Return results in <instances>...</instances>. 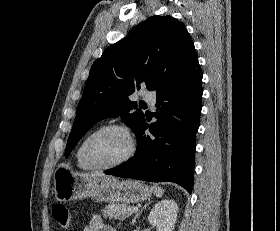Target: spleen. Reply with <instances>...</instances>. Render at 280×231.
Instances as JSON below:
<instances>
[{"label": "spleen", "mask_w": 280, "mask_h": 231, "mask_svg": "<svg viewBox=\"0 0 280 231\" xmlns=\"http://www.w3.org/2000/svg\"><path fill=\"white\" fill-rule=\"evenodd\" d=\"M152 191L155 195H157V197H162L164 189H162L160 185H153Z\"/></svg>", "instance_id": "obj_1"}]
</instances>
